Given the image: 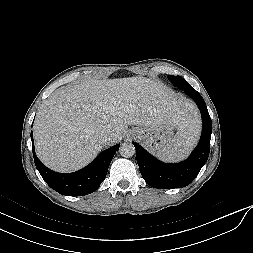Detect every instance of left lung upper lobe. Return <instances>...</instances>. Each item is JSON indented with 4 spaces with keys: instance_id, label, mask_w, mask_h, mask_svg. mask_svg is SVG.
I'll use <instances>...</instances> for the list:
<instances>
[{
    "instance_id": "left-lung-upper-lobe-1",
    "label": "left lung upper lobe",
    "mask_w": 253,
    "mask_h": 253,
    "mask_svg": "<svg viewBox=\"0 0 253 253\" xmlns=\"http://www.w3.org/2000/svg\"><path fill=\"white\" fill-rule=\"evenodd\" d=\"M168 79L178 88L180 89H187L189 87H191V85L184 80L182 77L180 76H168Z\"/></svg>"
}]
</instances>
